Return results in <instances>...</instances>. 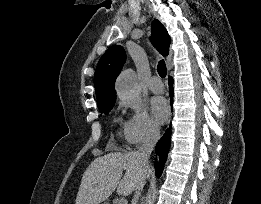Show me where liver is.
Masks as SVG:
<instances>
[{"label": "liver", "instance_id": "6515ba94", "mask_svg": "<svg viewBox=\"0 0 261 204\" xmlns=\"http://www.w3.org/2000/svg\"><path fill=\"white\" fill-rule=\"evenodd\" d=\"M152 173L149 165L141 166L137 152H114L97 157L83 174L75 204H100L116 188L119 195L128 196Z\"/></svg>", "mask_w": 261, "mask_h": 204}]
</instances>
